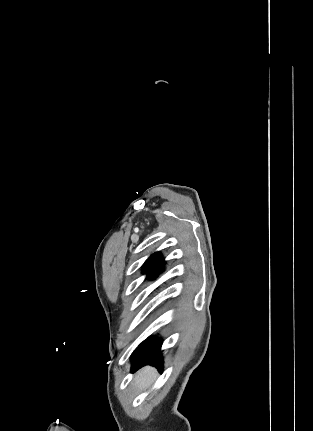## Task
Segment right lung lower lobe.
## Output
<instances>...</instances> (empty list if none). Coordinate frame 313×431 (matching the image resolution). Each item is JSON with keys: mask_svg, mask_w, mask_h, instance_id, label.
Instances as JSON below:
<instances>
[{"mask_svg": "<svg viewBox=\"0 0 313 431\" xmlns=\"http://www.w3.org/2000/svg\"><path fill=\"white\" fill-rule=\"evenodd\" d=\"M161 345L162 341L157 338H148L143 341L131 356L132 370L139 369L144 365H153L161 371L163 364Z\"/></svg>", "mask_w": 313, "mask_h": 431, "instance_id": "98d812e1", "label": "right lung lower lobe"}]
</instances>
